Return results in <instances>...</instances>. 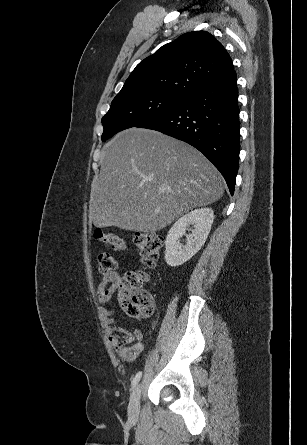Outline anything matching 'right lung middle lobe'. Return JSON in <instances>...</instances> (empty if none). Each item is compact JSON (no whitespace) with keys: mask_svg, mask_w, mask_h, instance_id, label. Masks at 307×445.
Returning <instances> with one entry per match:
<instances>
[{"mask_svg":"<svg viewBox=\"0 0 307 445\" xmlns=\"http://www.w3.org/2000/svg\"><path fill=\"white\" fill-rule=\"evenodd\" d=\"M185 97L162 94L117 95L102 118L105 141L115 133L154 119L176 107Z\"/></svg>","mask_w":307,"mask_h":445,"instance_id":"dd1d6c3e","label":"right lung middle lobe"}]
</instances>
